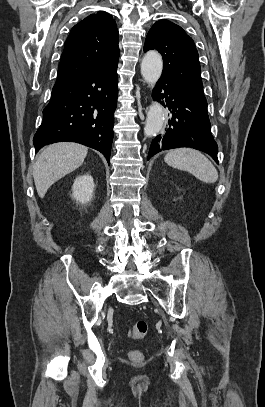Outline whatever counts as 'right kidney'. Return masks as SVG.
<instances>
[{
  "label": "right kidney",
  "instance_id": "right-kidney-1",
  "mask_svg": "<svg viewBox=\"0 0 265 407\" xmlns=\"http://www.w3.org/2000/svg\"><path fill=\"white\" fill-rule=\"evenodd\" d=\"M73 198L82 204L89 202L93 197L94 181L91 175L77 177L72 186Z\"/></svg>",
  "mask_w": 265,
  "mask_h": 407
}]
</instances>
